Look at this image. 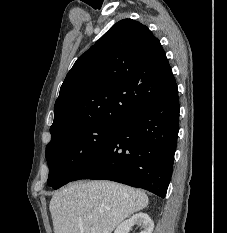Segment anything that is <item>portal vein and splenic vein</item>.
Returning <instances> with one entry per match:
<instances>
[{"label": "portal vein and splenic vein", "instance_id": "18ae733b", "mask_svg": "<svg viewBox=\"0 0 227 233\" xmlns=\"http://www.w3.org/2000/svg\"><path fill=\"white\" fill-rule=\"evenodd\" d=\"M89 218H92V215H88Z\"/></svg>", "mask_w": 227, "mask_h": 233}]
</instances>
